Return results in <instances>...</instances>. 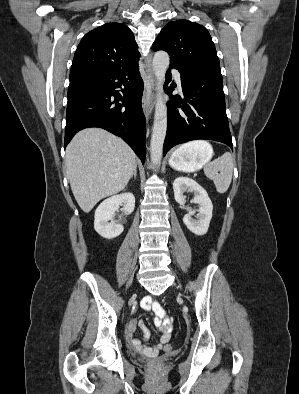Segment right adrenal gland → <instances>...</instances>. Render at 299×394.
<instances>
[{"label":"right adrenal gland","mask_w":299,"mask_h":394,"mask_svg":"<svg viewBox=\"0 0 299 394\" xmlns=\"http://www.w3.org/2000/svg\"><path fill=\"white\" fill-rule=\"evenodd\" d=\"M132 177H134V179H136V178H137V167L135 168V170H134V172H133V175H132Z\"/></svg>","instance_id":"2a0ac1e0"}]
</instances>
